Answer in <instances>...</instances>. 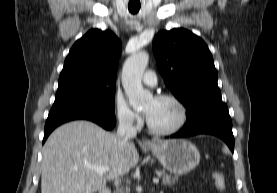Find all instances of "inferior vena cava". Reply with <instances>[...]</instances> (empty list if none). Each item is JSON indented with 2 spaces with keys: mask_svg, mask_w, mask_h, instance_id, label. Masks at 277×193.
I'll use <instances>...</instances> for the list:
<instances>
[{
  "mask_svg": "<svg viewBox=\"0 0 277 193\" xmlns=\"http://www.w3.org/2000/svg\"><path fill=\"white\" fill-rule=\"evenodd\" d=\"M137 130L133 126V118L131 116H120L117 129V136L124 141L136 137Z\"/></svg>",
  "mask_w": 277,
  "mask_h": 193,
  "instance_id": "inferior-vena-cava-1",
  "label": "inferior vena cava"
}]
</instances>
